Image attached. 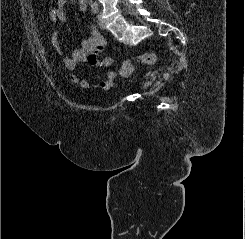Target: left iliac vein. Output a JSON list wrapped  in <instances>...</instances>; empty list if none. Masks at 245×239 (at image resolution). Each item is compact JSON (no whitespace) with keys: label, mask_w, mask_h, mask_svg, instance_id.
Wrapping results in <instances>:
<instances>
[{"label":"left iliac vein","mask_w":245,"mask_h":239,"mask_svg":"<svg viewBox=\"0 0 245 239\" xmlns=\"http://www.w3.org/2000/svg\"><path fill=\"white\" fill-rule=\"evenodd\" d=\"M97 21H98L99 26H100L102 29H105V28H106L105 21H104V19H103V17H102L101 14H98V15H97Z\"/></svg>","instance_id":"4c4485c4"}]
</instances>
